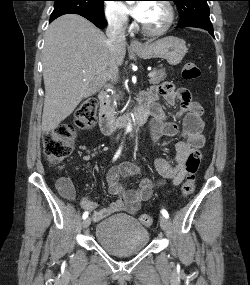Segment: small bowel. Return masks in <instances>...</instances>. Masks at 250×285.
<instances>
[{"mask_svg":"<svg viewBox=\"0 0 250 285\" xmlns=\"http://www.w3.org/2000/svg\"><path fill=\"white\" fill-rule=\"evenodd\" d=\"M162 97L169 105H174L176 100L180 101L181 107L178 113L169 117L158 99ZM141 101L146 102L151 110V134L155 142L162 136L173 137L177 135L179 127L177 120L182 119L183 140L176 142V164L173 165L164 158H157L155 168L160 176L158 182L140 176L137 166L133 163H124L112 168L107 175V183L111 194L117 199L108 207L97 209V204L88 197L81 200V207L92 212L93 221L97 222L116 212H127L135 214L138 212L142 202L150 199L154 188L166 180L173 185H179L186 175V159L193 149L203 147L205 137L203 135L204 124L201 119L202 106L192 99L191 93L186 88L175 90L169 82L161 83L152 87L141 96ZM137 178L138 187L134 190H126L120 183V178ZM58 190L67 200L75 199V189L72 183L62 178L58 181Z\"/></svg>","mask_w":250,"mask_h":285,"instance_id":"c3829d8e","label":"small bowel"}]
</instances>
